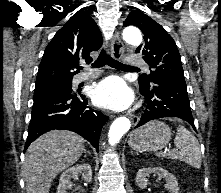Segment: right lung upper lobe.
Returning <instances> with one entry per match:
<instances>
[{"label":"right lung upper lobe","instance_id":"cb5924a9","mask_svg":"<svg viewBox=\"0 0 221 193\" xmlns=\"http://www.w3.org/2000/svg\"><path fill=\"white\" fill-rule=\"evenodd\" d=\"M102 37L95 21L86 13H76L56 32L41 60L36 86L72 82L78 72L73 70L81 59L92 60L89 53L97 51Z\"/></svg>","mask_w":221,"mask_h":193}]
</instances>
